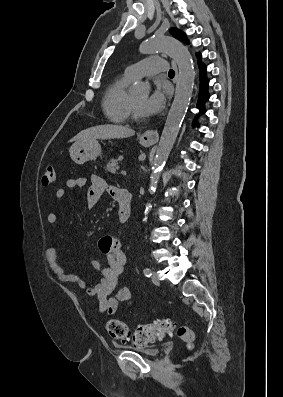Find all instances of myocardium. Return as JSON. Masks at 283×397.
<instances>
[{
	"label": "myocardium",
	"mask_w": 283,
	"mask_h": 397,
	"mask_svg": "<svg viewBox=\"0 0 283 397\" xmlns=\"http://www.w3.org/2000/svg\"><path fill=\"white\" fill-rule=\"evenodd\" d=\"M129 116L133 121L140 122L142 120V115H140L133 103L132 98L129 101Z\"/></svg>",
	"instance_id": "myocardium-1"
}]
</instances>
